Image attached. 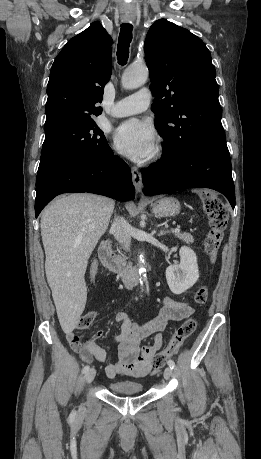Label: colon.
Masks as SVG:
<instances>
[{
	"label": "colon",
	"instance_id": "1",
	"mask_svg": "<svg viewBox=\"0 0 261 459\" xmlns=\"http://www.w3.org/2000/svg\"><path fill=\"white\" fill-rule=\"evenodd\" d=\"M204 210L209 220V232L205 239V251L213 261L219 250L223 239L224 231L227 228L229 214L222 200L212 191H204L200 194ZM208 299V288L205 285L200 286L195 294L194 300L197 304L203 305ZM95 320V312L89 311L84 313L77 324L79 330L88 329ZM196 329V321L187 319L174 333L169 344L160 352L156 353L152 359V365L155 369L163 367L166 361L174 356L183 342L192 335Z\"/></svg>",
	"mask_w": 261,
	"mask_h": 459
}]
</instances>
